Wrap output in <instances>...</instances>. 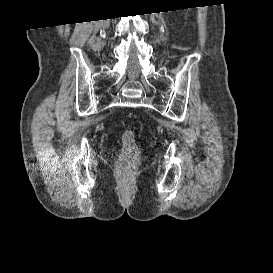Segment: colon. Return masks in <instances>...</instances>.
<instances>
[{
    "mask_svg": "<svg viewBox=\"0 0 273 273\" xmlns=\"http://www.w3.org/2000/svg\"><path fill=\"white\" fill-rule=\"evenodd\" d=\"M123 148L120 154L119 164L122 172L129 171L138 158V150L132 130H125L122 134Z\"/></svg>",
    "mask_w": 273,
    "mask_h": 273,
    "instance_id": "obj_1",
    "label": "colon"
}]
</instances>
